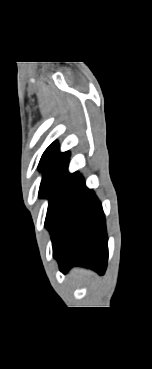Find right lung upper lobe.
<instances>
[{
	"instance_id": "cb5924a9",
	"label": "right lung upper lobe",
	"mask_w": 152,
	"mask_h": 369,
	"mask_svg": "<svg viewBox=\"0 0 152 369\" xmlns=\"http://www.w3.org/2000/svg\"><path fill=\"white\" fill-rule=\"evenodd\" d=\"M69 156V152H59L58 143L55 141L43 153L39 162V168L55 165H68Z\"/></svg>"
}]
</instances>
